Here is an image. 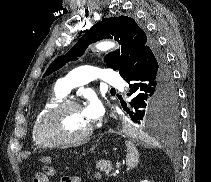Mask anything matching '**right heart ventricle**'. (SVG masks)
Instances as JSON below:
<instances>
[{"label": "right heart ventricle", "instance_id": "e07e8e85", "mask_svg": "<svg viewBox=\"0 0 211 182\" xmlns=\"http://www.w3.org/2000/svg\"><path fill=\"white\" fill-rule=\"evenodd\" d=\"M64 98V95L61 94L59 91H55L43 104V106L41 107V109L39 110V112L37 113V115L35 116L33 123H32V127H31V139L32 142L35 146H40V144L37 141L36 138V127L37 124L39 122V120L41 119V117L50 109L52 108L54 105H56L57 103H59L60 101H62Z\"/></svg>", "mask_w": 211, "mask_h": 182}]
</instances>
